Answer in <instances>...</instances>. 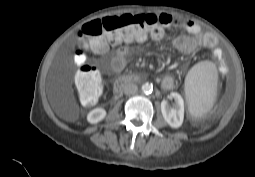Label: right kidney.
I'll use <instances>...</instances> for the list:
<instances>
[{"instance_id":"1","label":"right kidney","mask_w":255,"mask_h":177,"mask_svg":"<svg viewBox=\"0 0 255 177\" xmlns=\"http://www.w3.org/2000/svg\"><path fill=\"white\" fill-rule=\"evenodd\" d=\"M106 116V110L103 108H95L87 115V121L91 124H96L103 120Z\"/></svg>"}]
</instances>
